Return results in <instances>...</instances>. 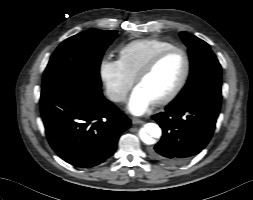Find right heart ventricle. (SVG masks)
<instances>
[{
    "instance_id": "obj_1",
    "label": "right heart ventricle",
    "mask_w": 253,
    "mask_h": 200,
    "mask_svg": "<svg viewBox=\"0 0 253 200\" xmlns=\"http://www.w3.org/2000/svg\"><path fill=\"white\" fill-rule=\"evenodd\" d=\"M172 47L174 44L157 38L134 40L120 48L119 61L126 73L135 78L155 55Z\"/></svg>"
}]
</instances>
